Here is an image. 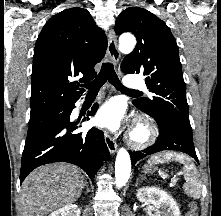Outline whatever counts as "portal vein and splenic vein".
I'll return each mask as SVG.
<instances>
[{
    "mask_svg": "<svg viewBox=\"0 0 221 216\" xmlns=\"http://www.w3.org/2000/svg\"><path fill=\"white\" fill-rule=\"evenodd\" d=\"M176 181H177V179H176V178H173V179H172V182H176Z\"/></svg>",
    "mask_w": 221,
    "mask_h": 216,
    "instance_id": "1",
    "label": "portal vein and splenic vein"
}]
</instances>
